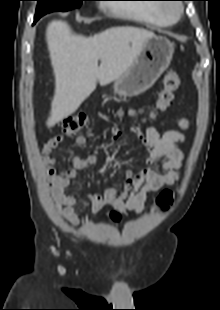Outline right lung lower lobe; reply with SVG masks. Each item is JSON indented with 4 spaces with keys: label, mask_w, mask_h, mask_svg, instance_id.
<instances>
[{
    "label": "right lung lower lobe",
    "mask_w": 220,
    "mask_h": 310,
    "mask_svg": "<svg viewBox=\"0 0 220 310\" xmlns=\"http://www.w3.org/2000/svg\"><path fill=\"white\" fill-rule=\"evenodd\" d=\"M40 17H36L34 18V23H36V21L39 19Z\"/></svg>",
    "instance_id": "98d812e1"
}]
</instances>
